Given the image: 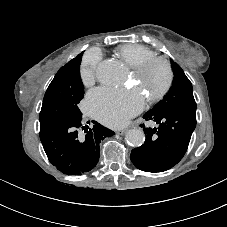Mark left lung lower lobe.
Returning <instances> with one entry per match:
<instances>
[{
    "label": "left lung lower lobe",
    "instance_id": "left-lung-lower-lobe-1",
    "mask_svg": "<svg viewBox=\"0 0 227 227\" xmlns=\"http://www.w3.org/2000/svg\"><path fill=\"white\" fill-rule=\"evenodd\" d=\"M143 118L155 121L159 126L144 128L145 143L132 150V163L142 171L153 173L172 168L187 151L196 127V114L178 110L148 111Z\"/></svg>",
    "mask_w": 227,
    "mask_h": 227
}]
</instances>
